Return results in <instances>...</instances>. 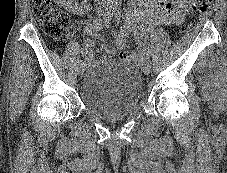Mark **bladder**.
<instances>
[{
  "label": "bladder",
  "instance_id": "1",
  "mask_svg": "<svg viewBox=\"0 0 227 173\" xmlns=\"http://www.w3.org/2000/svg\"><path fill=\"white\" fill-rule=\"evenodd\" d=\"M79 96L94 116L108 121L120 120L138 110L143 98L142 78L132 63L104 60L85 74Z\"/></svg>",
  "mask_w": 227,
  "mask_h": 173
}]
</instances>
